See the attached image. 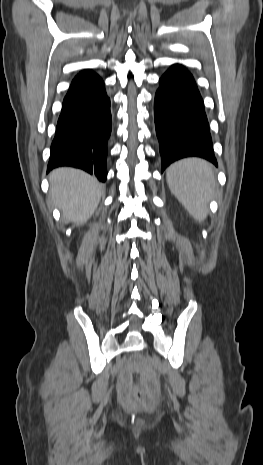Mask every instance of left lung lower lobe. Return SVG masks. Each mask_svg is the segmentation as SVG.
Returning <instances> with one entry per match:
<instances>
[{"instance_id":"obj_1","label":"left lung lower lobe","mask_w":263,"mask_h":465,"mask_svg":"<svg viewBox=\"0 0 263 465\" xmlns=\"http://www.w3.org/2000/svg\"><path fill=\"white\" fill-rule=\"evenodd\" d=\"M159 82L154 116L162 171L188 156L202 157L217 165L203 100L192 75L176 64Z\"/></svg>"}]
</instances>
